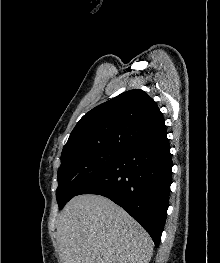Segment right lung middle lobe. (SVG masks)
Listing matches in <instances>:
<instances>
[{
    "label": "right lung middle lobe",
    "mask_w": 220,
    "mask_h": 263,
    "mask_svg": "<svg viewBox=\"0 0 220 263\" xmlns=\"http://www.w3.org/2000/svg\"><path fill=\"white\" fill-rule=\"evenodd\" d=\"M123 151L112 148H91L61 155L56 191L59 209H62L85 185L116 162Z\"/></svg>",
    "instance_id": "dd1d6c3e"
}]
</instances>
